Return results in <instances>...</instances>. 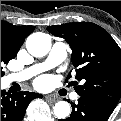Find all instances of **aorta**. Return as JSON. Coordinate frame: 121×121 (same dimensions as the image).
I'll return each instance as SVG.
<instances>
[{
  "instance_id": "obj_1",
  "label": "aorta",
  "mask_w": 121,
  "mask_h": 121,
  "mask_svg": "<svg viewBox=\"0 0 121 121\" xmlns=\"http://www.w3.org/2000/svg\"><path fill=\"white\" fill-rule=\"evenodd\" d=\"M26 47L31 55L35 57H43L51 49L50 36L41 32L33 33L27 38ZM53 111L57 118L65 119L70 114V105L66 101L57 102Z\"/></svg>"
}]
</instances>
